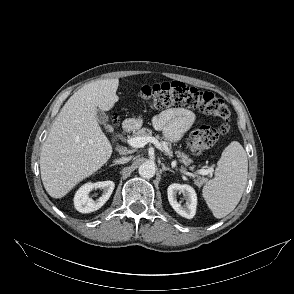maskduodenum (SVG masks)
Segmentation results:
<instances>
[{"label": "duodenum", "mask_w": 294, "mask_h": 294, "mask_svg": "<svg viewBox=\"0 0 294 294\" xmlns=\"http://www.w3.org/2000/svg\"><path fill=\"white\" fill-rule=\"evenodd\" d=\"M123 131L130 133L135 128V122L132 119H126L122 124Z\"/></svg>", "instance_id": "1"}]
</instances>
